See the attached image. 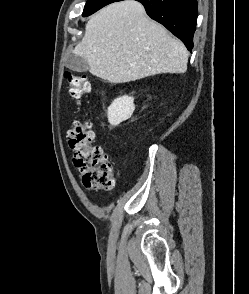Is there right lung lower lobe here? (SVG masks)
Wrapping results in <instances>:
<instances>
[{
	"label": "right lung lower lobe",
	"instance_id": "98d812e1",
	"mask_svg": "<svg viewBox=\"0 0 249 294\" xmlns=\"http://www.w3.org/2000/svg\"><path fill=\"white\" fill-rule=\"evenodd\" d=\"M137 1L144 5L147 14L152 19L164 25L181 39L189 51L192 50L197 20V0Z\"/></svg>",
	"mask_w": 249,
	"mask_h": 294
}]
</instances>
